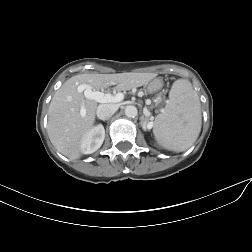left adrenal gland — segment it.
<instances>
[{
  "label": "left adrenal gland",
  "instance_id": "a2214340",
  "mask_svg": "<svg viewBox=\"0 0 252 252\" xmlns=\"http://www.w3.org/2000/svg\"><path fill=\"white\" fill-rule=\"evenodd\" d=\"M148 123H149V119H147L146 117H142L141 125H142L144 130H146Z\"/></svg>",
  "mask_w": 252,
  "mask_h": 252
}]
</instances>
